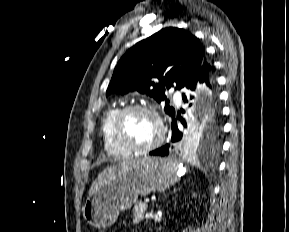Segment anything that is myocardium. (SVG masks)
Returning a JSON list of instances; mask_svg holds the SVG:
<instances>
[{
	"label": "myocardium",
	"mask_w": 289,
	"mask_h": 232,
	"mask_svg": "<svg viewBox=\"0 0 289 232\" xmlns=\"http://www.w3.org/2000/svg\"><path fill=\"white\" fill-rule=\"evenodd\" d=\"M145 112L150 114L158 125V137L157 139L147 146H137L128 142L123 136V122L125 117L132 112ZM112 135L119 147L127 151L128 153L147 154L161 146L165 138V127L163 121L156 109L149 105L132 104L122 107L116 114L113 125Z\"/></svg>",
	"instance_id": "1"
}]
</instances>
